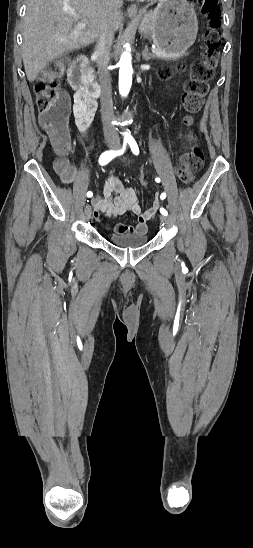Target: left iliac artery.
Listing matches in <instances>:
<instances>
[{"label":"left iliac artery","instance_id":"left-iliac-artery-1","mask_svg":"<svg viewBox=\"0 0 253 548\" xmlns=\"http://www.w3.org/2000/svg\"><path fill=\"white\" fill-rule=\"evenodd\" d=\"M128 143H129V145H130V148H131L132 153L135 154V155H138V154H139V148H138V145H137L136 141H135L134 139L131 138V139H129ZM155 181H156V182H160V178H156ZM160 198H161L162 200L165 199V198H166V194H165V193H162L161 196H160ZM160 213H161L162 215H165V216L168 215L167 210L164 209V208H160Z\"/></svg>","mask_w":253,"mask_h":548}]
</instances>
